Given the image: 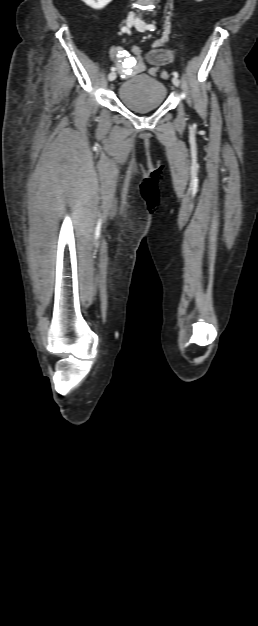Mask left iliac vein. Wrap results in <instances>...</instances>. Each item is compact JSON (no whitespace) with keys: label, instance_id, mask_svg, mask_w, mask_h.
Returning <instances> with one entry per match:
<instances>
[{"label":"left iliac vein","instance_id":"obj_1","mask_svg":"<svg viewBox=\"0 0 258 626\" xmlns=\"http://www.w3.org/2000/svg\"><path fill=\"white\" fill-rule=\"evenodd\" d=\"M134 25H135V27H136V29H137L138 31H140V32L145 31V27H146V25H145V22H144L143 20H141V19H137V20L135 21V24H134ZM172 83H173L175 86H177V87L180 85V81H179V79H178L177 77H175V76L172 78Z\"/></svg>","mask_w":258,"mask_h":626}]
</instances>
